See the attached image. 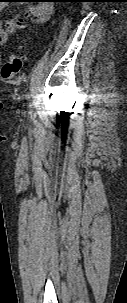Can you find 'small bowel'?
<instances>
[{
    "label": "small bowel",
    "mask_w": 127,
    "mask_h": 303,
    "mask_svg": "<svg viewBox=\"0 0 127 303\" xmlns=\"http://www.w3.org/2000/svg\"><path fill=\"white\" fill-rule=\"evenodd\" d=\"M47 2H49V0H39L29 5L24 19L36 22H46L49 20L52 14V5ZM22 27V20L16 17L7 21L5 26L0 22V44L5 43L10 35L14 34Z\"/></svg>",
    "instance_id": "1"
}]
</instances>
